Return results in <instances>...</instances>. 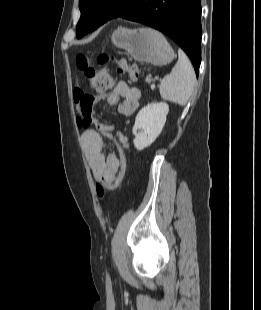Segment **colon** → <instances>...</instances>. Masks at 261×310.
Masks as SVG:
<instances>
[{"mask_svg":"<svg viewBox=\"0 0 261 310\" xmlns=\"http://www.w3.org/2000/svg\"><path fill=\"white\" fill-rule=\"evenodd\" d=\"M109 61V57L105 54H102L98 57V68H94L90 63V58L86 54H78L76 57V65L77 68L82 71L85 77L89 80L90 85L93 90L97 92H104L109 90L113 83L114 79L112 75L106 68V64ZM119 73H128L130 78L135 80L138 77V70L133 67L129 66L124 62H119ZM118 156L120 159V170L113 181L109 183L99 182L97 184V193L100 197H102L106 190H113L117 188L124 176L125 169H126V155L124 147L120 144H116Z\"/></svg>","mask_w":261,"mask_h":310,"instance_id":"5ec220e1","label":"colon"}]
</instances>
